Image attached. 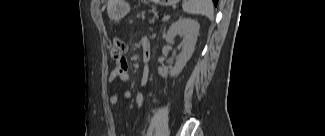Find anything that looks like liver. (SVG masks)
Returning a JSON list of instances; mask_svg holds the SVG:
<instances>
[{
    "instance_id": "obj_1",
    "label": "liver",
    "mask_w": 325,
    "mask_h": 136,
    "mask_svg": "<svg viewBox=\"0 0 325 136\" xmlns=\"http://www.w3.org/2000/svg\"><path fill=\"white\" fill-rule=\"evenodd\" d=\"M114 4H115V0H108L107 12L111 19H113L112 10H113Z\"/></svg>"
}]
</instances>
